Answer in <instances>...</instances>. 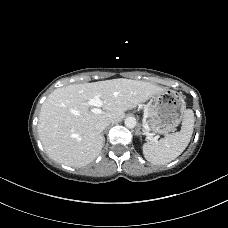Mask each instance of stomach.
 <instances>
[{
  "label": "stomach",
  "mask_w": 228,
  "mask_h": 228,
  "mask_svg": "<svg viewBox=\"0 0 228 228\" xmlns=\"http://www.w3.org/2000/svg\"><path fill=\"white\" fill-rule=\"evenodd\" d=\"M152 108L155 117L150 121V130L155 134L166 135L174 132L182 121L186 103L179 93L166 89L154 96Z\"/></svg>",
  "instance_id": "obj_1"
}]
</instances>
